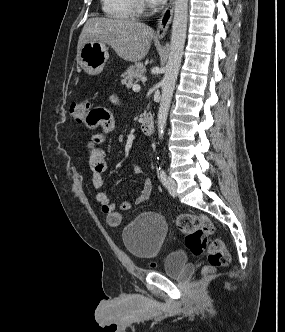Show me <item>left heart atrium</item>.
Masks as SVG:
<instances>
[{
    "label": "left heart atrium",
    "mask_w": 285,
    "mask_h": 332,
    "mask_svg": "<svg viewBox=\"0 0 285 332\" xmlns=\"http://www.w3.org/2000/svg\"><path fill=\"white\" fill-rule=\"evenodd\" d=\"M153 5H160L164 3L166 0H149Z\"/></svg>",
    "instance_id": "obj_1"
}]
</instances>
